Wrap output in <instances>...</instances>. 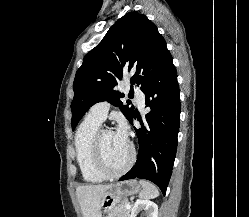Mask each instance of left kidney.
<instances>
[{"mask_svg":"<svg viewBox=\"0 0 249 217\" xmlns=\"http://www.w3.org/2000/svg\"><path fill=\"white\" fill-rule=\"evenodd\" d=\"M141 210L146 211V217H158V206L150 200L139 199L135 202L130 217H136Z\"/></svg>","mask_w":249,"mask_h":217,"instance_id":"obj_1","label":"left kidney"}]
</instances>
